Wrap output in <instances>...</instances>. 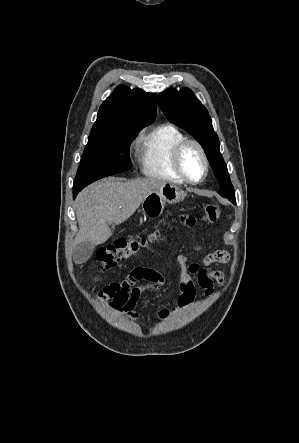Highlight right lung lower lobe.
I'll return each mask as SVG.
<instances>
[{"label":"right lung lower lobe","instance_id":"obj_1","mask_svg":"<svg viewBox=\"0 0 299 443\" xmlns=\"http://www.w3.org/2000/svg\"><path fill=\"white\" fill-rule=\"evenodd\" d=\"M80 191H73V198L75 199L76 198V196H77V194L79 193Z\"/></svg>","mask_w":299,"mask_h":443}]
</instances>
